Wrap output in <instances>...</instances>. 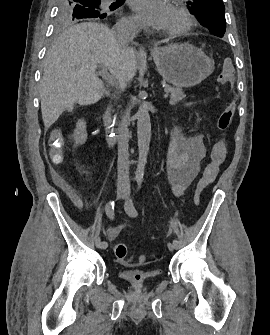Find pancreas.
I'll use <instances>...</instances> for the list:
<instances>
[{
    "mask_svg": "<svg viewBox=\"0 0 270 335\" xmlns=\"http://www.w3.org/2000/svg\"><path fill=\"white\" fill-rule=\"evenodd\" d=\"M165 92L171 94L169 102L171 106H174V104H178V102H181V100H184V98H186L181 88H171V86H166Z\"/></svg>",
    "mask_w": 270,
    "mask_h": 335,
    "instance_id": "1",
    "label": "pancreas"
}]
</instances>
